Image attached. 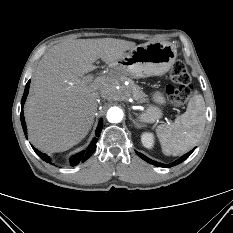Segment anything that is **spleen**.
Instances as JSON below:
<instances>
[{
	"mask_svg": "<svg viewBox=\"0 0 233 233\" xmlns=\"http://www.w3.org/2000/svg\"><path fill=\"white\" fill-rule=\"evenodd\" d=\"M205 103L202 95L195 94L190 98L187 110L178 116L170 125H159L156 135L162 152L178 156L191 150L199 141L205 128Z\"/></svg>",
	"mask_w": 233,
	"mask_h": 233,
	"instance_id": "1",
	"label": "spleen"
}]
</instances>
